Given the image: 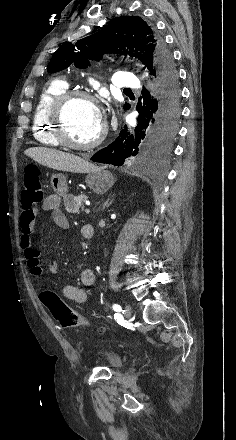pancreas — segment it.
Wrapping results in <instances>:
<instances>
[{"label": "pancreas", "mask_w": 236, "mask_h": 440, "mask_svg": "<svg viewBox=\"0 0 236 440\" xmlns=\"http://www.w3.org/2000/svg\"><path fill=\"white\" fill-rule=\"evenodd\" d=\"M87 199V196L84 194H80L78 196H74L72 194L66 195L64 197V205L67 212L75 214L79 213V209L84 208V201Z\"/></svg>", "instance_id": "1"}]
</instances>
